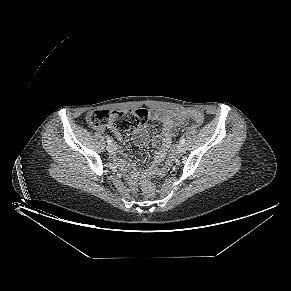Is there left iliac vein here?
I'll return each mask as SVG.
<instances>
[{
	"label": "left iliac vein",
	"mask_w": 291,
	"mask_h": 291,
	"mask_svg": "<svg viewBox=\"0 0 291 291\" xmlns=\"http://www.w3.org/2000/svg\"><path fill=\"white\" fill-rule=\"evenodd\" d=\"M177 151H178L179 153H184V152L186 151V146H185L184 144H179V145L177 146Z\"/></svg>",
	"instance_id": "4c4485c4"
}]
</instances>
